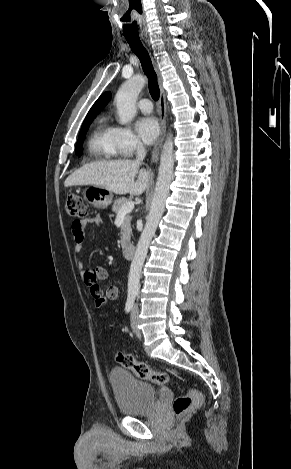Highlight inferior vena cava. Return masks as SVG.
Returning <instances> with one entry per match:
<instances>
[{
    "mask_svg": "<svg viewBox=\"0 0 291 469\" xmlns=\"http://www.w3.org/2000/svg\"><path fill=\"white\" fill-rule=\"evenodd\" d=\"M136 153H137V162H141L145 156H146V149L142 142L138 141L137 142V147H136Z\"/></svg>",
    "mask_w": 291,
    "mask_h": 469,
    "instance_id": "602c4592",
    "label": "inferior vena cava"
}]
</instances>
